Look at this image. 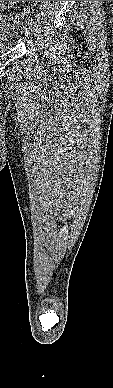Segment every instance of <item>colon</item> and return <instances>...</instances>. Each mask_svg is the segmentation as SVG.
<instances>
[{
  "label": "colon",
  "instance_id": "obj_1",
  "mask_svg": "<svg viewBox=\"0 0 113 388\" xmlns=\"http://www.w3.org/2000/svg\"><path fill=\"white\" fill-rule=\"evenodd\" d=\"M23 19H24V14L21 13V14H16V15L10 17L9 21L12 24H20L23 21Z\"/></svg>",
  "mask_w": 113,
  "mask_h": 388
}]
</instances>
